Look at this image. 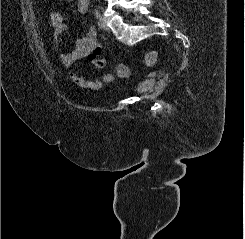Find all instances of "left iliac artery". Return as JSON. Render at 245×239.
<instances>
[{
  "label": "left iliac artery",
  "instance_id": "left-iliac-artery-1",
  "mask_svg": "<svg viewBox=\"0 0 245 239\" xmlns=\"http://www.w3.org/2000/svg\"><path fill=\"white\" fill-rule=\"evenodd\" d=\"M94 15H95V17H96L97 19L100 18V11H99L98 8H95V9H94Z\"/></svg>",
  "mask_w": 245,
  "mask_h": 239
}]
</instances>
